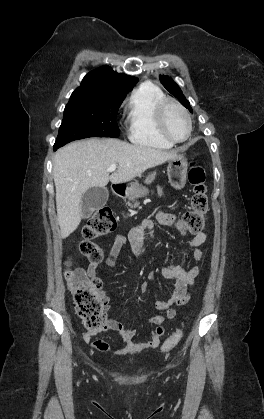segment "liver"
I'll return each mask as SVG.
<instances>
[{"label": "liver", "instance_id": "obj_1", "mask_svg": "<svg viewBox=\"0 0 264 419\" xmlns=\"http://www.w3.org/2000/svg\"><path fill=\"white\" fill-rule=\"evenodd\" d=\"M177 156L176 151L132 145L113 138H90L60 148L54 157L53 178L56 188L57 219L60 234L67 238L82 218L83 194L92 187H105L130 181L149 168ZM117 170L111 175L110 165Z\"/></svg>", "mask_w": 264, "mask_h": 419}]
</instances>
